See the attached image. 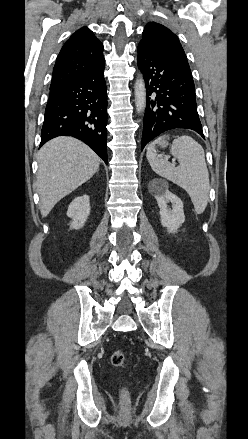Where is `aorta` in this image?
<instances>
[{
	"mask_svg": "<svg viewBox=\"0 0 248 439\" xmlns=\"http://www.w3.org/2000/svg\"><path fill=\"white\" fill-rule=\"evenodd\" d=\"M135 105L136 110L140 114L144 112L146 107V88L142 75H139L135 82Z\"/></svg>",
	"mask_w": 248,
	"mask_h": 439,
	"instance_id": "obj_1",
	"label": "aorta"
}]
</instances>
